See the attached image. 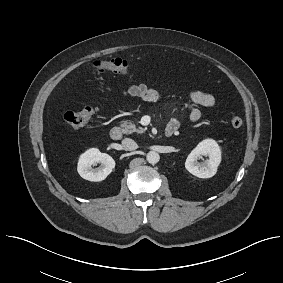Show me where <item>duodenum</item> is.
<instances>
[{
    "label": "duodenum",
    "mask_w": 283,
    "mask_h": 283,
    "mask_svg": "<svg viewBox=\"0 0 283 283\" xmlns=\"http://www.w3.org/2000/svg\"><path fill=\"white\" fill-rule=\"evenodd\" d=\"M176 127L174 125H168L165 129V136L166 137H171L174 135L175 131H176ZM109 135L112 139L114 140H118L121 138L122 136V131L119 127L117 126H113L110 128L109 130Z\"/></svg>",
    "instance_id": "duodenum-1"
}]
</instances>
